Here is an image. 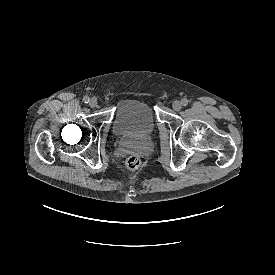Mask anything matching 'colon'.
Here are the masks:
<instances>
[{
  "label": "colon",
  "mask_w": 275,
  "mask_h": 275,
  "mask_svg": "<svg viewBox=\"0 0 275 275\" xmlns=\"http://www.w3.org/2000/svg\"><path fill=\"white\" fill-rule=\"evenodd\" d=\"M140 166V158L137 155H131L126 160V167L130 171L136 170Z\"/></svg>",
  "instance_id": "1"
}]
</instances>
